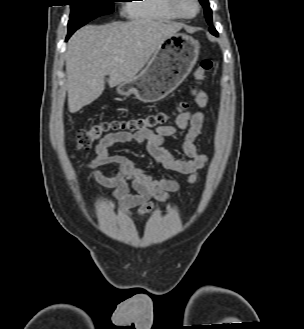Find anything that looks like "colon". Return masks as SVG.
I'll list each match as a JSON object with an SVG mask.
<instances>
[{
    "label": "colon",
    "instance_id": "obj_1",
    "mask_svg": "<svg viewBox=\"0 0 304 329\" xmlns=\"http://www.w3.org/2000/svg\"><path fill=\"white\" fill-rule=\"evenodd\" d=\"M212 67L213 62L210 59H203L200 62V65L194 72V78L198 85L204 81ZM197 90L198 88L196 87L193 92L197 93ZM186 107L187 103L183 101L178 105L177 110L182 111L186 109ZM173 114L174 112L159 111L124 120L96 122L87 129L79 130L74 140L80 149H88L93 143L114 133L128 132L149 135L156 129L167 125Z\"/></svg>",
    "mask_w": 304,
    "mask_h": 329
}]
</instances>
